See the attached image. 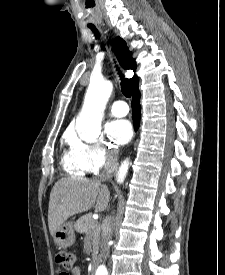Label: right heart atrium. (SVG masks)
I'll use <instances>...</instances> for the list:
<instances>
[{
    "instance_id": "1",
    "label": "right heart atrium",
    "mask_w": 225,
    "mask_h": 275,
    "mask_svg": "<svg viewBox=\"0 0 225 275\" xmlns=\"http://www.w3.org/2000/svg\"><path fill=\"white\" fill-rule=\"evenodd\" d=\"M69 142L72 152L87 172H97L117 159L116 150L107 146L103 140L88 143L71 137Z\"/></svg>"
}]
</instances>
